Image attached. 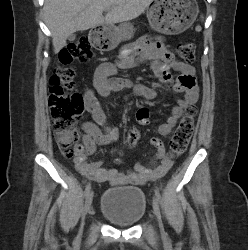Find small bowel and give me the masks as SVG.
<instances>
[{
    "label": "small bowel",
    "instance_id": "obj_1",
    "mask_svg": "<svg viewBox=\"0 0 248 250\" xmlns=\"http://www.w3.org/2000/svg\"><path fill=\"white\" fill-rule=\"evenodd\" d=\"M140 62H149L151 71L162 84L184 94L182 98L176 100L166 122L156 130L158 136H168L182 116L183 110L198 100L199 93L194 69L191 65L178 60L166 48L160 36H145L129 46L128 56L120 62V67L128 69ZM116 70L115 64H100L94 74L93 87L84 93L85 108L91 113L93 121L83 123L82 144L78 146L74 164L79 173L94 182H109L116 186L143 185L165 176L173 164L167 155L164 143L158 136L150 140L151 145L156 149L155 157L148 164L137 163L133 171L122 173L114 168H104L102 161L88 160V157L95 152L97 145H110L119 138L117 128L108 122L107 115L96 97L97 94L106 97L116 90L132 89L133 95L147 100L157 97V91L152 87L133 84L127 79L115 77ZM172 71L179 73L176 81L173 80ZM136 117L140 124L148 125L150 123L149 108L141 107ZM127 138L133 140V133L130 132Z\"/></svg>",
    "mask_w": 248,
    "mask_h": 250
}]
</instances>
